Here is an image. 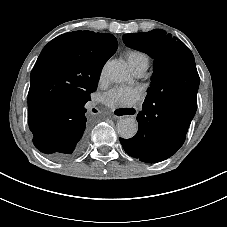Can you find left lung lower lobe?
<instances>
[{
    "label": "left lung lower lobe",
    "mask_w": 227,
    "mask_h": 227,
    "mask_svg": "<svg viewBox=\"0 0 227 227\" xmlns=\"http://www.w3.org/2000/svg\"><path fill=\"white\" fill-rule=\"evenodd\" d=\"M199 76L187 80L167 92L145 100L137 115L138 132L130 139L120 138L125 152L146 163L163 161L177 152L197 108Z\"/></svg>",
    "instance_id": "left-lung-lower-lobe-1"
}]
</instances>
